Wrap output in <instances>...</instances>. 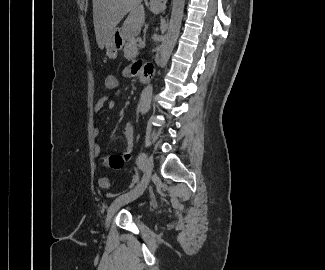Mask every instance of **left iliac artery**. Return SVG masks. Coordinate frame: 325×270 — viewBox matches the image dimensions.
<instances>
[{"instance_id":"44dca946","label":"left iliac artery","mask_w":325,"mask_h":270,"mask_svg":"<svg viewBox=\"0 0 325 270\" xmlns=\"http://www.w3.org/2000/svg\"><path fill=\"white\" fill-rule=\"evenodd\" d=\"M146 159V154L145 153H141L138 157V166L139 168H142L144 166V161Z\"/></svg>"}]
</instances>
